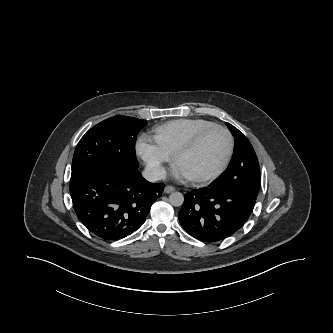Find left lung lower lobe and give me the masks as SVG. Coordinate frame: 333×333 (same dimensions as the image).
<instances>
[{"instance_id": "0a47b994", "label": "left lung lower lobe", "mask_w": 333, "mask_h": 333, "mask_svg": "<svg viewBox=\"0 0 333 333\" xmlns=\"http://www.w3.org/2000/svg\"><path fill=\"white\" fill-rule=\"evenodd\" d=\"M256 199L242 191L210 184L184 195L181 226L194 238L218 242L237 232L250 217Z\"/></svg>"}]
</instances>
